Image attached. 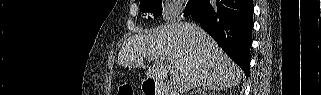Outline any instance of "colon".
Wrapping results in <instances>:
<instances>
[{
  "instance_id": "1",
  "label": "colon",
  "mask_w": 321,
  "mask_h": 95,
  "mask_svg": "<svg viewBox=\"0 0 321 95\" xmlns=\"http://www.w3.org/2000/svg\"><path fill=\"white\" fill-rule=\"evenodd\" d=\"M118 95H134L132 86L127 81H121L118 85Z\"/></svg>"
}]
</instances>
